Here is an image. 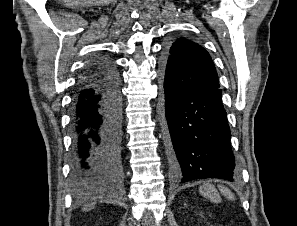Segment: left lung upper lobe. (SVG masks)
Instances as JSON below:
<instances>
[{
    "mask_svg": "<svg viewBox=\"0 0 297 226\" xmlns=\"http://www.w3.org/2000/svg\"><path fill=\"white\" fill-rule=\"evenodd\" d=\"M162 65L189 88L206 90L219 86L209 53L198 44L179 38L171 45Z\"/></svg>",
    "mask_w": 297,
    "mask_h": 226,
    "instance_id": "5c2ea615",
    "label": "left lung upper lobe"
}]
</instances>
